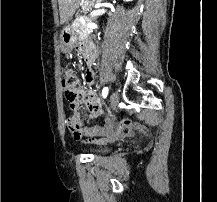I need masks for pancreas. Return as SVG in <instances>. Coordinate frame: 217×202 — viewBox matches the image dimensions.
Returning <instances> with one entry per match:
<instances>
[{
    "instance_id": "1",
    "label": "pancreas",
    "mask_w": 217,
    "mask_h": 202,
    "mask_svg": "<svg viewBox=\"0 0 217 202\" xmlns=\"http://www.w3.org/2000/svg\"><path fill=\"white\" fill-rule=\"evenodd\" d=\"M85 22H88L89 18H86V16H83ZM72 30H75L77 34H79V40H84L85 38L83 36H87L89 34V28H86V26H83L81 24L79 18H76L74 24L71 26Z\"/></svg>"
}]
</instances>
